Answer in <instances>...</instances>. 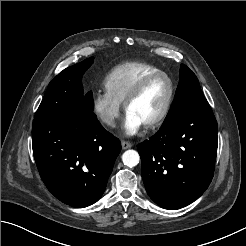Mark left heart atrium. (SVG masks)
<instances>
[{
  "instance_id": "1",
  "label": "left heart atrium",
  "mask_w": 246,
  "mask_h": 246,
  "mask_svg": "<svg viewBox=\"0 0 246 246\" xmlns=\"http://www.w3.org/2000/svg\"><path fill=\"white\" fill-rule=\"evenodd\" d=\"M143 125L144 124L141 122V120L135 115L130 112L126 113L123 124V129L126 135L133 136L137 134Z\"/></svg>"
}]
</instances>
